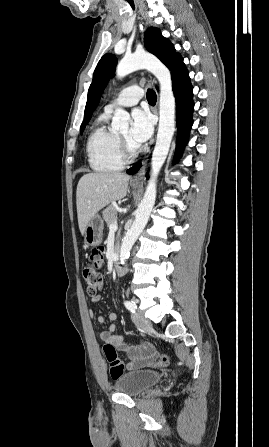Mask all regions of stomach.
<instances>
[{
  "label": "stomach",
  "instance_id": "0dacf381",
  "mask_svg": "<svg viewBox=\"0 0 269 447\" xmlns=\"http://www.w3.org/2000/svg\"><path fill=\"white\" fill-rule=\"evenodd\" d=\"M104 224L101 216H93L85 227L84 239L87 245H100Z\"/></svg>",
  "mask_w": 269,
  "mask_h": 447
}]
</instances>
